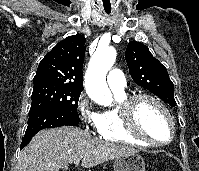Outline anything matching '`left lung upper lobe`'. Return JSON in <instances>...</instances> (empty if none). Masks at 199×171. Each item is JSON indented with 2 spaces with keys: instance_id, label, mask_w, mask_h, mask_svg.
I'll use <instances>...</instances> for the list:
<instances>
[{
  "instance_id": "obj_1",
  "label": "left lung upper lobe",
  "mask_w": 199,
  "mask_h": 171,
  "mask_svg": "<svg viewBox=\"0 0 199 171\" xmlns=\"http://www.w3.org/2000/svg\"><path fill=\"white\" fill-rule=\"evenodd\" d=\"M125 58L136 84L148 89L172 107L176 105L174 84L169 78L167 69L152 56L147 46L136 41L129 42Z\"/></svg>"
}]
</instances>
